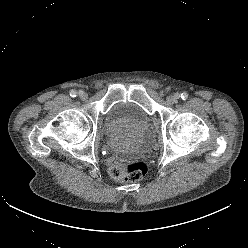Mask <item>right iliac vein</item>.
Listing matches in <instances>:
<instances>
[{
	"instance_id": "1",
	"label": "right iliac vein",
	"mask_w": 248,
	"mask_h": 248,
	"mask_svg": "<svg viewBox=\"0 0 248 248\" xmlns=\"http://www.w3.org/2000/svg\"><path fill=\"white\" fill-rule=\"evenodd\" d=\"M79 96L81 99L85 100L87 98V94L83 91H79Z\"/></svg>"
}]
</instances>
